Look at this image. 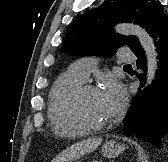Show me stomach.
Returning <instances> with one entry per match:
<instances>
[{
	"mask_svg": "<svg viewBox=\"0 0 168 162\" xmlns=\"http://www.w3.org/2000/svg\"><path fill=\"white\" fill-rule=\"evenodd\" d=\"M124 150V145L114 140L108 141L102 147L103 156L107 158H115L120 155Z\"/></svg>",
	"mask_w": 168,
	"mask_h": 162,
	"instance_id": "0dacf381",
	"label": "stomach"
}]
</instances>
